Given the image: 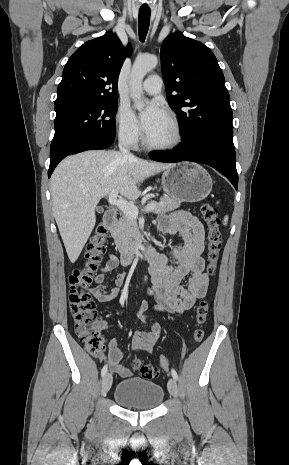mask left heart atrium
Returning a JSON list of instances; mask_svg holds the SVG:
<instances>
[{"instance_id":"left-heart-atrium-1","label":"left heart atrium","mask_w":289,"mask_h":465,"mask_svg":"<svg viewBox=\"0 0 289 465\" xmlns=\"http://www.w3.org/2000/svg\"><path fill=\"white\" fill-rule=\"evenodd\" d=\"M164 116L165 112L157 101L148 102L140 113L141 127L145 134L151 133Z\"/></svg>"}]
</instances>
